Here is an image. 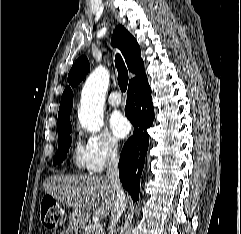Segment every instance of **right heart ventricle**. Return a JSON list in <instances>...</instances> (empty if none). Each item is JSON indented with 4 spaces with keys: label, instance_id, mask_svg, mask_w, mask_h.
<instances>
[{
    "label": "right heart ventricle",
    "instance_id": "1",
    "mask_svg": "<svg viewBox=\"0 0 241 234\" xmlns=\"http://www.w3.org/2000/svg\"><path fill=\"white\" fill-rule=\"evenodd\" d=\"M73 161L77 168L88 169V156L85 147L79 142L73 152Z\"/></svg>",
    "mask_w": 241,
    "mask_h": 234
}]
</instances>
